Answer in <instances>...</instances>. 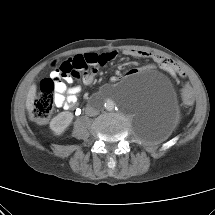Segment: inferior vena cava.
<instances>
[{"label": "inferior vena cava", "mask_w": 215, "mask_h": 215, "mask_svg": "<svg viewBox=\"0 0 215 215\" xmlns=\"http://www.w3.org/2000/svg\"><path fill=\"white\" fill-rule=\"evenodd\" d=\"M85 113L89 116H96L99 114V110L94 108L93 106L91 105H88L85 109Z\"/></svg>", "instance_id": "602c4592"}]
</instances>
